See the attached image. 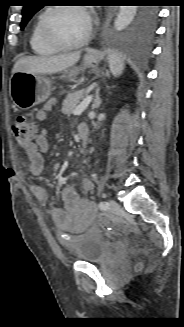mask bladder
<instances>
[{
  "label": "bladder",
  "instance_id": "obj_1",
  "mask_svg": "<svg viewBox=\"0 0 184 327\" xmlns=\"http://www.w3.org/2000/svg\"><path fill=\"white\" fill-rule=\"evenodd\" d=\"M69 251L78 261L92 264H102L112 252L105 236L97 230H88L75 236Z\"/></svg>",
  "mask_w": 184,
  "mask_h": 327
}]
</instances>
